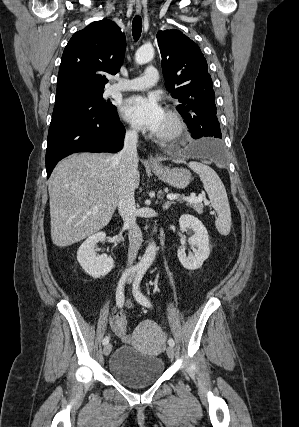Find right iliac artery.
Wrapping results in <instances>:
<instances>
[{"label": "right iliac artery", "instance_id": "82829eb1", "mask_svg": "<svg viewBox=\"0 0 299 427\" xmlns=\"http://www.w3.org/2000/svg\"><path fill=\"white\" fill-rule=\"evenodd\" d=\"M138 269L136 267H133L129 270H127L125 273H123L122 277L120 278V281L118 283V287L116 290V304L119 308H122L124 305V284L126 281L127 276L134 271H137ZM109 342V337H105L103 339V344L106 345Z\"/></svg>", "mask_w": 299, "mask_h": 427}]
</instances>
